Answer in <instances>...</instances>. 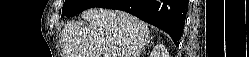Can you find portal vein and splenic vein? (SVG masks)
Returning a JSON list of instances; mask_svg holds the SVG:
<instances>
[{"label": "portal vein and splenic vein", "mask_w": 249, "mask_h": 57, "mask_svg": "<svg viewBox=\"0 0 249 57\" xmlns=\"http://www.w3.org/2000/svg\"><path fill=\"white\" fill-rule=\"evenodd\" d=\"M104 57H110V55H104Z\"/></svg>", "instance_id": "1"}]
</instances>
